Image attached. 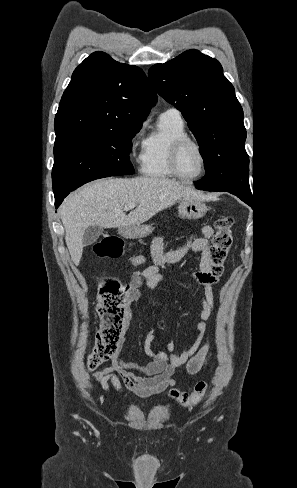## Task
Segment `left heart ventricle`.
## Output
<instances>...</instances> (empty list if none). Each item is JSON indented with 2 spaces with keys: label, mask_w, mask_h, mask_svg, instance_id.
I'll return each instance as SVG.
<instances>
[{
  "label": "left heart ventricle",
  "mask_w": 297,
  "mask_h": 488,
  "mask_svg": "<svg viewBox=\"0 0 297 488\" xmlns=\"http://www.w3.org/2000/svg\"><path fill=\"white\" fill-rule=\"evenodd\" d=\"M178 167L185 176H194L201 169V156L198 149L187 144L183 147L178 158Z\"/></svg>",
  "instance_id": "b2bd125f"
}]
</instances>
